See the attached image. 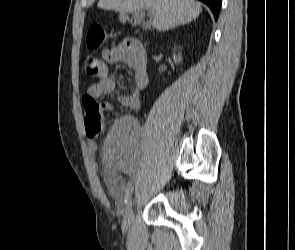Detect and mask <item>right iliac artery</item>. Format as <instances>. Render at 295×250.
Returning <instances> with one entry per match:
<instances>
[{
    "label": "right iliac artery",
    "instance_id": "82829eb1",
    "mask_svg": "<svg viewBox=\"0 0 295 250\" xmlns=\"http://www.w3.org/2000/svg\"><path fill=\"white\" fill-rule=\"evenodd\" d=\"M132 191H133V187L130 185V186L128 187L127 191H126V195H125V198H124L125 204L128 203L129 198H130V196H131V194H132Z\"/></svg>",
    "mask_w": 295,
    "mask_h": 250
}]
</instances>
